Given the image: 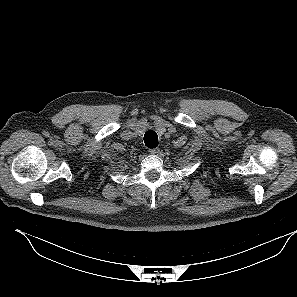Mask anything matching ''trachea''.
<instances>
[{"mask_svg": "<svg viewBox=\"0 0 297 297\" xmlns=\"http://www.w3.org/2000/svg\"><path fill=\"white\" fill-rule=\"evenodd\" d=\"M144 143L149 148H155L158 146V136L155 131H147L144 134Z\"/></svg>", "mask_w": 297, "mask_h": 297, "instance_id": "3493384b", "label": "trachea"}]
</instances>
